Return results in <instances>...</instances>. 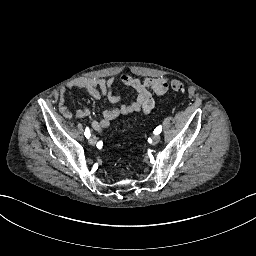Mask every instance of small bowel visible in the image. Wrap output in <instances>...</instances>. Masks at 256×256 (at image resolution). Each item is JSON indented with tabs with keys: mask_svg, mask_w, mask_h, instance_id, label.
I'll return each mask as SVG.
<instances>
[{
	"mask_svg": "<svg viewBox=\"0 0 256 256\" xmlns=\"http://www.w3.org/2000/svg\"><path fill=\"white\" fill-rule=\"evenodd\" d=\"M120 81L136 93V98L129 104H120L121 97L113 91L116 82L114 77H82L59 90L57 95L58 110L66 118H70L72 115L86 118L90 115V110L86 107L72 111L66 105V98L70 89L85 90L93 98L106 97L110 103L118 106L104 110L100 120L92 121L93 129L98 133H102L110 126L112 121L121 116L132 113L146 115L151 113L155 105L154 97L164 95L168 89V79L164 77H151L140 80L129 74H123L120 77Z\"/></svg>",
	"mask_w": 256,
	"mask_h": 256,
	"instance_id": "c3829d8e",
	"label": "small bowel"
}]
</instances>
